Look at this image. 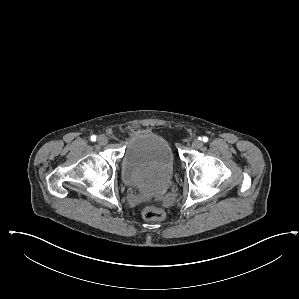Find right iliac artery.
Returning <instances> with one entry per match:
<instances>
[{
  "mask_svg": "<svg viewBox=\"0 0 299 299\" xmlns=\"http://www.w3.org/2000/svg\"><path fill=\"white\" fill-rule=\"evenodd\" d=\"M91 141H96V136L95 135L91 136Z\"/></svg>",
  "mask_w": 299,
  "mask_h": 299,
  "instance_id": "right-iliac-artery-1",
  "label": "right iliac artery"
}]
</instances>
